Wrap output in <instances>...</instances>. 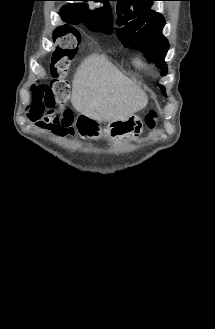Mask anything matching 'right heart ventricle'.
Returning a JSON list of instances; mask_svg holds the SVG:
<instances>
[{
  "label": "right heart ventricle",
  "mask_w": 215,
  "mask_h": 329,
  "mask_svg": "<svg viewBox=\"0 0 215 329\" xmlns=\"http://www.w3.org/2000/svg\"><path fill=\"white\" fill-rule=\"evenodd\" d=\"M135 64L136 65H140L141 64V60L140 59H135Z\"/></svg>",
  "instance_id": "right-heart-ventricle-1"
}]
</instances>
